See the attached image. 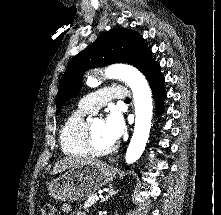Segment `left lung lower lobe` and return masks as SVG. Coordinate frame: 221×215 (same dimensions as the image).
Wrapping results in <instances>:
<instances>
[{"label":"left lung lower lobe","instance_id":"left-lung-lower-lobe-1","mask_svg":"<svg viewBox=\"0 0 221 215\" xmlns=\"http://www.w3.org/2000/svg\"><path fill=\"white\" fill-rule=\"evenodd\" d=\"M143 74L146 76L151 86L156 104V113L158 115L164 110L163 100L166 97V92L163 86L164 77L159 70V64L156 62L153 63L143 72Z\"/></svg>","mask_w":221,"mask_h":215}]
</instances>
